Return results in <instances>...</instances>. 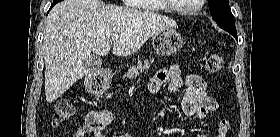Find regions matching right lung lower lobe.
<instances>
[{
	"label": "right lung lower lobe",
	"mask_w": 280,
	"mask_h": 137,
	"mask_svg": "<svg viewBox=\"0 0 280 137\" xmlns=\"http://www.w3.org/2000/svg\"><path fill=\"white\" fill-rule=\"evenodd\" d=\"M61 0H54L53 1V3L51 4V7H50V9L55 5V4H57L58 2H60ZM50 9H49V11H50ZM48 11V12H49Z\"/></svg>",
	"instance_id": "1"
}]
</instances>
